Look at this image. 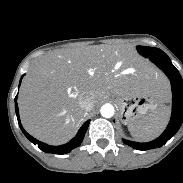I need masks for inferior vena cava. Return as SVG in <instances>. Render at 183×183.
Masks as SVG:
<instances>
[{"label":"inferior vena cava","instance_id":"1","mask_svg":"<svg viewBox=\"0 0 183 183\" xmlns=\"http://www.w3.org/2000/svg\"><path fill=\"white\" fill-rule=\"evenodd\" d=\"M79 105L80 107L85 110V111H89L91 108H92V105H93V100H92V97L90 96H85V97H82L80 100H79Z\"/></svg>","mask_w":183,"mask_h":183}]
</instances>
